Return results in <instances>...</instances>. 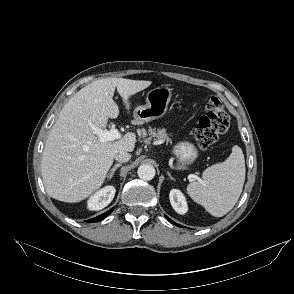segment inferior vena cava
<instances>
[{"instance_id":"602c4592","label":"inferior vena cava","mask_w":294,"mask_h":294,"mask_svg":"<svg viewBox=\"0 0 294 294\" xmlns=\"http://www.w3.org/2000/svg\"><path fill=\"white\" fill-rule=\"evenodd\" d=\"M114 159L120 163L127 162L131 159V154L128 152L120 151L114 156Z\"/></svg>"}]
</instances>
